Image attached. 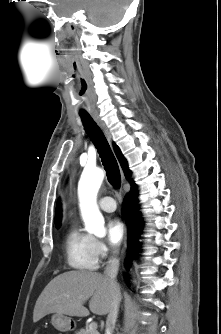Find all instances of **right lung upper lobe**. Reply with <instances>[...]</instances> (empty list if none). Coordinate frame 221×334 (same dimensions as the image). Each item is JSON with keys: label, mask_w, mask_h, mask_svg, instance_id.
Masks as SVG:
<instances>
[{"label": "right lung upper lobe", "mask_w": 221, "mask_h": 334, "mask_svg": "<svg viewBox=\"0 0 221 334\" xmlns=\"http://www.w3.org/2000/svg\"><path fill=\"white\" fill-rule=\"evenodd\" d=\"M114 149H115L116 155L119 159V162H120V164H121V166L124 170L125 176H126L127 179H129L130 175H131V172L128 168L127 161L124 158V156L122 155L119 147L116 144H114ZM131 183L133 184V182H131ZM60 221H61V206H60V203L58 202L57 207H56V213H55V225H56V227H59Z\"/></svg>", "instance_id": "right-lung-upper-lobe-1"}]
</instances>
